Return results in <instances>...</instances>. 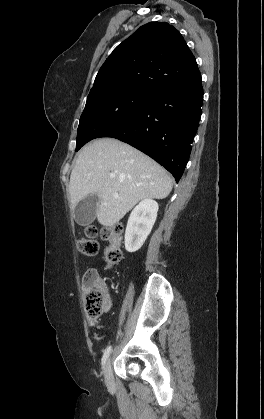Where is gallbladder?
I'll list each match as a JSON object with an SVG mask.
<instances>
[{
  "mask_svg": "<svg viewBox=\"0 0 264 419\" xmlns=\"http://www.w3.org/2000/svg\"><path fill=\"white\" fill-rule=\"evenodd\" d=\"M99 203L100 199L97 194L88 195L81 200L74 210L76 222L81 226L91 224L95 220Z\"/></svg>",
  "mask_w": 264,
  "mask_h": 419,
  "instance_id": "obj_1",
  "label": "gallbladder"
}]
</instances>
